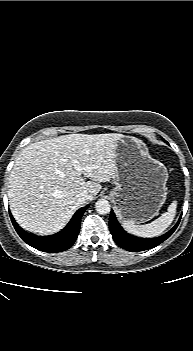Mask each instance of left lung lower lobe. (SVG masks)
<instances>
[{
    "label": "left lung lower lobe",
    "instance_id": "1",
    "mask_svg": "<svg viewBox=\"0 0 193 351\" xmlns=\"http://www.w3.org/2000/svg\"><path fill=\"white\" fill-rule=\"evenodd\" d=\"M179 221L170 231H168L166 234L160 237L153 238V239H140V238L128 235L119 225L114 212L111 211L110 219H109V229L114 241L118 246L130 252H137V251L152 249L157 245H159L160 243H162L164 240L170 237V235L175 231V229L179 224Z\"/></svg>",
    "mask_w": 193,
    "mask_h": 351
}]
</instances>
